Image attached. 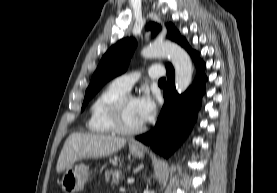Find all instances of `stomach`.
I'll list each match as a JSON object with an SVG mask.
<instances>
[{"label":"stomach","mask_w":277,"mask_h":193,"mask_svg":"<svg viewBox=\"0 0 277 193\" xmlns=\"http://www.w3.org/2000/svg\"><path fill=\"white\" fill-rule=\"evenodd\" d=\"M130 153L136 157L142 158L145 154V149L138 146L135 142L129 143ZM89 176V167L85 164L71 166L63 174L61 180L62 189L65 193H77L84 188V185Z\"/></svg>","instance_id":"0dacf381"}]
</instances>
